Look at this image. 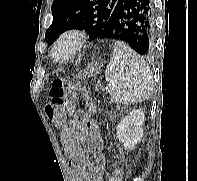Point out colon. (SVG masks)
Listing matches in <instances>:
<instances>
[{"label": "colon", "instance_id": "1", "mask_svg": "<svg viewBox=\"0 0 197 181\" xmlns=\"http://www.w3.org/2000/svg\"><path fill=\"white\" fill-rule=\"evenodd\" d=\"M77 87L63 79L55 80L50 89V102L45 105V114L48 119L57 125H62L65 118L73 111V98ZM92 107V103L88 102ZM107 181H120L117 173L110 175Z\"/></svg>", "mask_w": 197, "mask_h": 181}]
</instances>
